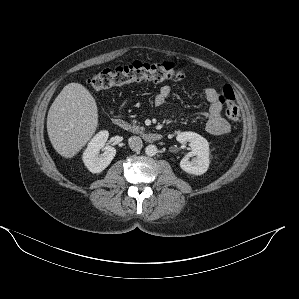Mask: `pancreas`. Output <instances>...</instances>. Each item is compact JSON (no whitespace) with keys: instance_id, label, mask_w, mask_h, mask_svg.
<instances>
[{"instance_id":"pancreas-1","label":"pancreas","mask_w":299,"mask_h":299,"mask_svg":"<svg viewBox=\"0 0 299 299\" xmlns=\"http://www.w3.org/2000/svg\"><path fill=\"white\" fill-rule=\"evenodd\" d=\"M137 121L134 120L132 122V124L128 125L127 129L132 131L133 133H143V131L145 130L144 127H140L138 125H136Z\"/></svg>"}]
</instances>
